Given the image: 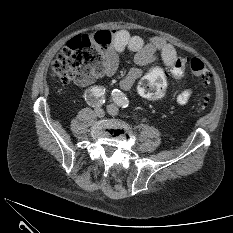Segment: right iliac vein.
I'll use <instances>...</instances> for the list:
<instances>
[{
  "mask_svg": "<svg viewBox=\"0 0 233 233\" xmlns=\"http://www.w3.org/2000/svg\"><path fill=\"white\" fill-rule=\"evenodd\" d=\"M95 115L99 118H102L104 116V110L101 107H96Z\"/></svg>",
  "mask_w": 233,
  "mask_h": 233,
  "instance_id": "1",
  "label": "right iliac vein"
}]
</instances>
